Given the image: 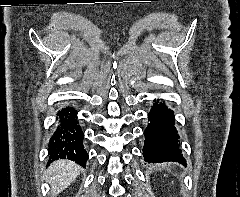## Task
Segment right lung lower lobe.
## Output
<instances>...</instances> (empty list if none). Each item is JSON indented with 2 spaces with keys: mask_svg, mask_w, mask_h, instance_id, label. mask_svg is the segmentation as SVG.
<instances>
[{
  "mask_svg": "<svg viewBox=\"0 0 240 197\" xmlns=\"http://www.w3.org/2000/svg\"><path fill=\"white\" fill-rule=\"evenodd\" d=\"M58 122L49 141V162L69 159L85 166L88 154L83 146V131L78 124L77 112L65 107L58 112Z\"/></svg>",
  "mask_w": 240,
  "mask_h": 197,
  "instance_id": "1",
  "label": "right lung lower lobe"
}]
</instances>
